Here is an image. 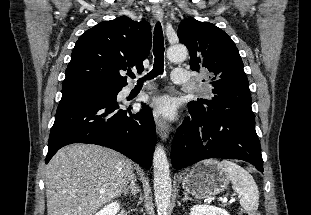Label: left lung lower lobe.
<instances>
[{
	"label": "left lung lower lobe",
	"instance_id": "0a47b994",
	"mask_svg": "<svg viewBox=\"0 0 311 215\" xmlns=\"http://www.w3.org/2000/svg\"><path fill=\"white\" fill-rule=\"evenodd\" d=\"M189 112L192 120L187 118L183 122L172 144L174 169L207 158H225L247 161L263 172L261 147L252 111H210L189 107Z\"/></svg>",
	"mask_w": 311,
	"mask_h": 215
}]
</instances>
